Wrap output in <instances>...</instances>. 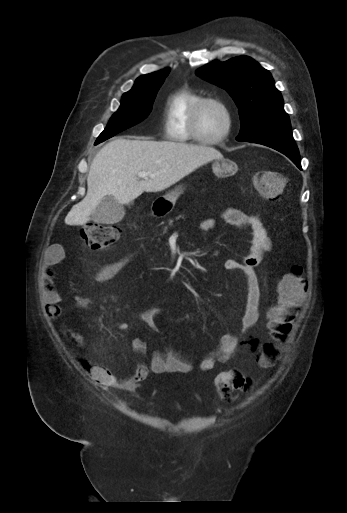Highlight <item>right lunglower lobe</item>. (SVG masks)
Instances as JSON below:
<instances>
[{
	"label": "right lung lower lobe",
	"mask_w": 347,
	"mask_h": 513,
	"mask_svg": "<svg viewBox=\"0 0 347 513\" xmlns=\"http://www.w3.org/2000/svg\"><path fill=\"white\" fill-rule=\"evenodd\" d=\"M99 143H100L99 141H96V142H95V144H96V145H97V144H99Z\"/></svg>",
	"instance_id": "right-lung-lower-lobe-1"
}]
</instances>
